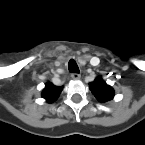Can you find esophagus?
Wrapping results in <instances>:
<instances>
[{
    "mask_svg": "<svg viewBox=\"0 0 145 145\" xmlns=\"http://www.w3.org/2000/svg\"><path fill=\"white\" fill-rule=\"evenodd\" d=\"M80 77H81V75H80L79 73H72V74H71V78H72L73 80H79Z\"/></svg>",
    "mask_w": 145,
    "mask_h": 145,
    "instance_id": "1",
    "label": "esophagus"
}]
</instances>
